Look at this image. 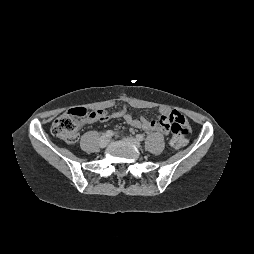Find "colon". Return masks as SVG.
Segmentation results:
<instances>
[{
	"label": "colon",
	"mask_w": 254,
	"mask_h": 254,
	"mask_svg": "<svg viewBox=\"0 0 254 254\" xmlns=\"http://www.w3.org/2000/svg\"><path fill=\"white\" fill-rule=\"evenodd\" d=\"M99 111H90L85 108H74L57 117L51 126L54 136L67 142L74 143L78 139L79 129L82 123L98 118ZM172 138L170 144L172 148L178 149L187 142V135L190 127L186 119L177 114L170 123Z\"/></svg>",
	"instance_id": "obj_1"
}]
</instances>
